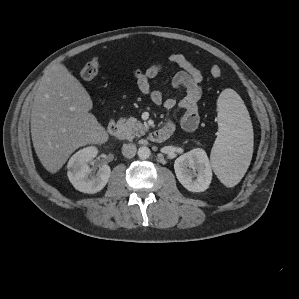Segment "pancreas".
<instances>
[{"label": "pancreas", "instance_id": "1", "mask_svg": "<svg viewBox=\"0 0 299 299\" xmlns=\"http://www.w3.org/2000/svg\"><path fill=\"white\" fill-rule=\"evenodd\" d=\"M118 123L123 128L129 139L140 137L147 131V127L144 126L140 121H137V119L134 117H130L128 119L121 118Z\"/></svg>", "mask_w": 299, "mask_h": 299}]
</instances>
